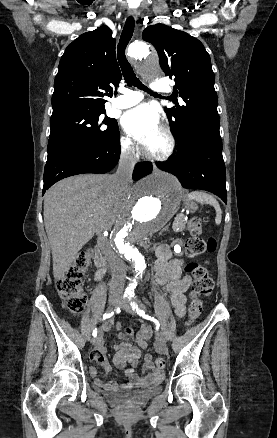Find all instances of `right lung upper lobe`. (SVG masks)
Instances as JSON below:
<instances>
[{
	"instance_id": "right-lung-upper-lobe-1",
	"label": "right lung upper lobe",
	"mask_w": 277,
	"mask_h": 438,
	"mask_svg": "<svg viewBox=\"0 0 277 438\" xmlns=\"http://www.w3.org/2000/svg\"><path fill=\"white\" fill-rule=\"evenodd\" d=\"M121 80L115 39L107 26L80 35L66 48L59 63L52 96V115L105 111L103 99L112 96Z\"/></svg>"
}]
</instances>
